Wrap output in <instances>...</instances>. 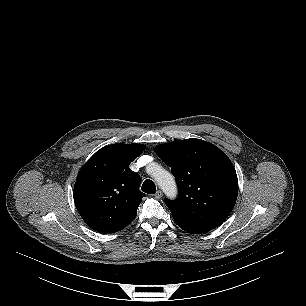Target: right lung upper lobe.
Returning a JSON list of instances; mask_svg holds the SVG:
<instances>
[{"mask_svg": "<svg viewBox=\"0 0 306 306\" xmlns=\"http://www.w3.org/2000/svg\"><path fill=\"white\" fill-rule=\"evenodd\" d=\"M142 144H112L96 152L84 165L74 185L76 208L93 230L114 233L130 224L144 193L140 176L129 164L144 150Z\"/></svg>", "mask_w": 306, "mask_h": 306, "instance_id": "obj_1", "label": "right lung upper lobe"}]
</instances>
